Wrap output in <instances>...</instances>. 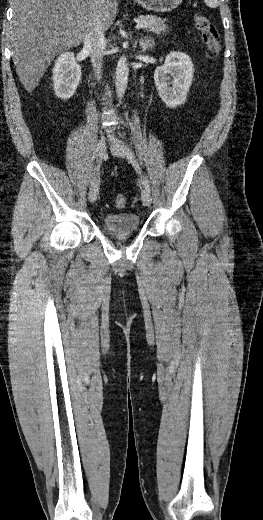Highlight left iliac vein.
Segmentation results:
<instances>
[{
  "mask_svg": "<svg viewBox=\"0 0 263 520\" xmlns=\"http://www.w3.org/2000/svg\"><path fill=\"white\" fill-rule=\"evenodd\" d=\"M112 153L120 158H125L127 155L126 146L120 140H115L111 144ZM141 199L146 206H149L152 202L150 192L146 189L141 192Z\"/></svg>",
  "mask_w": 263,
  "mask_h": 520,
  "instance_id": "left-iliac-vein-1",
  "label": "left iliac vein"
}]
</instances>
